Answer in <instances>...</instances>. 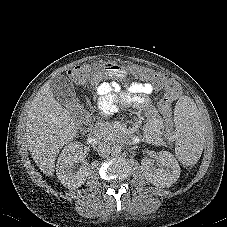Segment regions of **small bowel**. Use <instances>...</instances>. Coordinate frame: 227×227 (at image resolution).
<instances>
[{
  "label": "small bowel",
  "instance_id": "obj_1",
  "mask_svg": "<svg viewBox=\"0 0 227 227\" xmlns=\"http://www.w3.org/2000/svg\"><path fill=\"white\" fill-rule=\"evenodd\" d=\"M120 90L119 85L112 82H102L96 87V93L99 95L98 113L102 118L112 115L119 102L116 95ZM126 101L133 105L145 104V97L153 91L151 84L133 82L126 86ZM162 128V122L158 117H152L147 124L145 135L149 140L156 139Z\"/></svg>",
  "mask_w": 227,
  "mask_h": 227
}]
</instances>
